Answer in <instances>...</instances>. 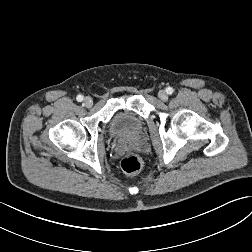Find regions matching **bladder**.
I'll use <instances>...</instances> for the list:
<instances>
[{"label":"bladder","mask_w":252,"mask_h":252,"mask_svg":"<svg viewBox=\"0 0 252 252\" xmlns=\"http://www.w3.org/2000/svg\"><path fill=\"white\" fill-rule=\"evenodd\" d=\"M143 122L138 117L120 112L110 123V134L116 139L138 138L143 133Z\"/></svg>","instance_id":"31cf9c89"}]
</instances>
